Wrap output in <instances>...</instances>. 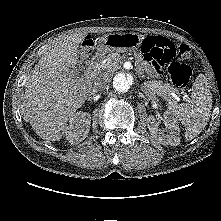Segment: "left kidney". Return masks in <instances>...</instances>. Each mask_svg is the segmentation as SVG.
I'll use <instances>...</instances> for the list:
<instances>
[{
  "instance_id": "1",
  "label": "left kidney",
  "mask_w": 221,
  "mask_h": 221,
  "mask_svg": "<svg viewBox=\"0 0 221 221\" xmlns=\"http://www.w3.org/2000/svg\"><path fill=\"white\" fill-rule=\"evenodd\" d=\"M159 119L155 118L154 116H149L147 120V127L150 131L151 136L160 144L162 145H171L177 146L180 144V130L177 122L171 118L170 116L166 115L163 119L165 126L168 128V133H160L158 131L157 125L159 123Z\"/></svg>"
}]
</instances>
